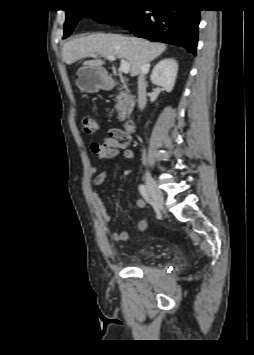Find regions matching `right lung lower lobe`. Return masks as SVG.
<instances>
[{"label": "right lung lower lobe", "instance_id": "right-lung-lower-lobe-1", "mask_svg": "<svg viewBox=\"0 0 254 355\" xmlns=\"http://www.w3.org/2000/svg\"><path fill=\"white\" fill-rule=\"evenodd\" d=\"M164 9H150L145 3L135 5L117 22L123 28L142 38L181 45L196 54L200 9L194 0H166L155 4Z\"/></svg>", "mask_w": 254, "mask_h": 355}]
</instances>
